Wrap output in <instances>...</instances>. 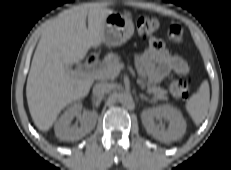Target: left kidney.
Here are the masks:
<instances>
[{"label":"left kidney","mask_w":231,"mask_h":170,"mask_svg":"<svg viewBox=\"0 0 231 170\" xmlns=\"http://www.w3.org/2000/svg\"><path fill=\"white\" fill-rule=\"evenodd\" d=\"M141 119L146 131L165 143L180 139L186 132L187 125L181 112L169 104L144 110ZM155 119L168 121V128L156 126Z\"/></svg>","instance_id":"obj_1"}]
</instances>
